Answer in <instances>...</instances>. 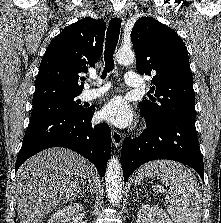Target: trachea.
<instances>
[{"instance_id": "3493384b", "label": "trachea", "mask_w": 221, "mask_h": 223, "mask_svg": "<svg viewBox=\"0 0 221 223\" xmlns=\"http://www.w3.org/2000/svg\"><path fill=\"white\" fill-rule=\"evenodd\" d=\"M121 28V20L118 18H113L109 22V26L106 33L105 51H104V61L105 68L102 73L101 78H106L108 72L114 69V51L118 43Z\"/></svg>"}]
</instances>
